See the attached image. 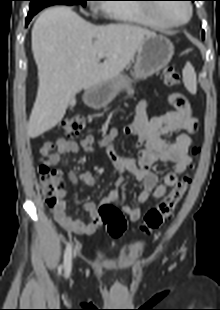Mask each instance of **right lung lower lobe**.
I'll use <instances>...</instances> for the list:
<instances>
[{
  "instance_id": "obj_1",
  "label": "right lung lower lobe",
  "mask_w": 220,
  "mask_h": 310,
  "mask_svg": "<svg viewBox=\"0 0 220 310\" xmlns=\"http://www.w3.org/2000/svg\"><path fill=\"white\" fill-rule=\"evenodd\" d=\"M36 13H28V16L26 18V26L28 25L29 21L32 19V17L35 15Z\"/></svg>"
}]
</instances>
